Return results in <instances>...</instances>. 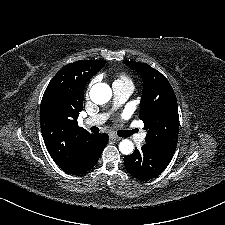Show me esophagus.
<instances>
[{
	"mask_svg": "<svg viewBox=\"0 0 225 225\" xmlns=\"http://www.w3.org/2000/svg\"><path fill=\"white\" fill-rule=\"evenodd\" d=\"M109 138H110L111 140H114V141H120V140H121V138L118 137V136H116L115 134H110V135H109Z\"/></svg>",
	"mask_w": 225,
	"mask_h": 225,
	"instance_id": "obj_1",
	"label": "esophagus"
}]
</instances>
